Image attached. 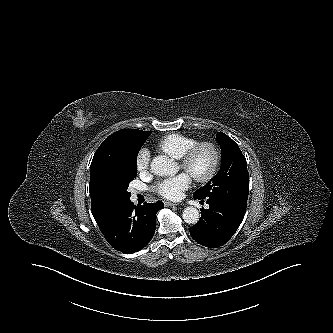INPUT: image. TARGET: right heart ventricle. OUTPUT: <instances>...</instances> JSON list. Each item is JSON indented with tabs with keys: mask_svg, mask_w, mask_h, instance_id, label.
<instances>
[{
	"mask_svg": "<svg viewBox=\"0 0 333 333\" xmlns=\"http://www.w3.org/2000/svg\"><path fill=\"white\" fill-rule=\"evenodd\" d=\"M196 143L197 140L192 137L171 133L157 143V148L170 157L179 160Z\"/></svg>",
	"mask_w": 333,
	"mask_h": 333,
	"instance_id": "1",
	"label": "right heart ventricle"
}]
</instances>
